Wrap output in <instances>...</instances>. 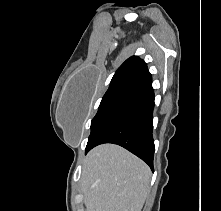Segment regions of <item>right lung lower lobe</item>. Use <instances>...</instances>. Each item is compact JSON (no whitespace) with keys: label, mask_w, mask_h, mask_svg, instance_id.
<instances>
[{"label":"right lung lower lobe","mask_w":221,"mask_h":211,"mask_svg":"<svg viewBox=\"0 0 221 211\" xmlns=\"http://www.w3.org/2000/svg\"><path fill=\"white\" fill-rule=\"evenodd\" d=\"M154 90L138 91L102 132L86 146V152L103 143L118 144L145 161L153 170L155 151L152 137Z\"/></svg>","instance_id":"right-lung-lower-lobe-1"}]
</instances>
